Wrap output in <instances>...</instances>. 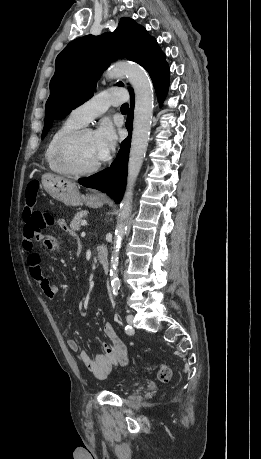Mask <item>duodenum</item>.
<instances>
[{"label": "duodenum", "mask_w": 261, "mask_h": 459, "mask_svg": "<svg viewBox=\"0 0 261 459\" xmlns=\"http://www.w3.org/2000/svg\"><path fill=\"white\" fill-rule=\"evenodd\" d=\"M96 254L98 262L100 263L103 270L108 271L109 262L106 248L103 245H98L96 248Z\"/></svg>", "instance_id": "410a0bca"}]
</instances>
